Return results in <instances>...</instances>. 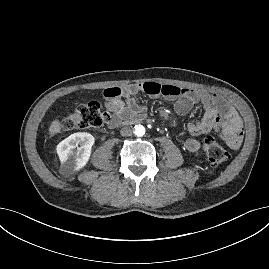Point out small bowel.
Wrapping results in <instances>:
<instances>
[{
	"label": "small bowel",
	"instance_id": "small-bowel-1",
	"mask_svg": "<svg viewBox=\"0 0 269 269\" xmlns=\"http://www.w3.org/2000/svg\"><path fill=\"white\" fill-rule=\"evenodd\" d=\"M141 92L153 97L164 96L168 100L175 101L174 107L178 115L188 113L195 104L202 105L204 115L200 120L188 123L189 133L198 136L217 130L231 149L240 147L243 126L238 113L221 96L203 89L179 88L156 82L138 83L127 88L109 87L103 94L104 106L112 114L110 127L143 117L144 108L133 98L134 94ZM184 147L189 152H196L200 149V142L194 138H187L184 140Z\"/></svg>",
	"mask_w": 269,
	"mask_h": 269
}]
</instances>
